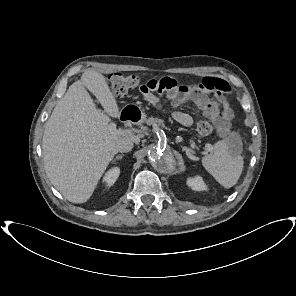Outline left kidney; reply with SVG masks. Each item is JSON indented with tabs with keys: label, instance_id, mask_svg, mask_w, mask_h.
<instances>
[{
	"label": "left kidney",
	"instance_id": "1",
	"mask_svg": "<svg viewBox=\"0 0 296 296\" xmlns=\"http://www.w3.org/2000/svg\"><path fill=\"white\" fill-rule=\"evenodd\" d=\"M187 184L195 191H203L207 189L206 184L200 176L189 178L187 180Z\"/></svg>",
	"mask_w": 296,
	"mask_h": 296
}]
</instances>
